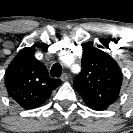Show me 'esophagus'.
I'll list each match as a JSON object with an SVG mask.
<instances>
[{"label": "esophagus", "mask_w": 133, "mask_h": 133, "mask_svg": "<svg viewBox=\"0 0 133 133\" xmlns=\"http://www.w3.org/2000/svg\"><path fill=\"white\" fill-rule=\"evenodd\" d=\"M69 79V76L66 73H63L61 76L62 81H67Z\"/></svg>", "instance_id": "obj_1"}]
</instances>
